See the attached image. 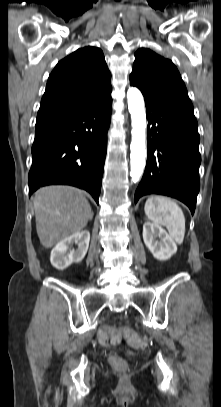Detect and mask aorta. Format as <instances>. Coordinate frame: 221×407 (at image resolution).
I'll return each mask as SVG.
<instances>
[{"label": "aorta", "mask_w": 221, "mask_h": 407, "mask_svg": "<svg viewBox=\"0 0 221 407\" xmlns=\"http://www.w3.org/2000/svg\"><path fill=\"white\" fill-rule=\"evenodd\" d=\"M127 100L132 125L130 176L136 183L140 180L146 164V113L144 98L137 88L129 87Z\"/></svg>", "instance_id": "762f6f07"}]
</instances>
